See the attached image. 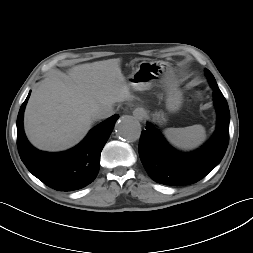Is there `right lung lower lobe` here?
Here are the masks:
<instances>
[{
  "instance_id": "right-lung-lower-lobe-1",
  "label": "right lung lower lobe",
  "mask_w": 253,
  "mask_h": 253,
  "mask_svg": "<svg viewBox=\"0 0 253 253\" xmlns=\"http://www.w3.org/2000/svg\"><path fill=\"white\" fill-rule=\"evenodd\" d=\"M31 92L22 104L17 117V147L28 170L47 186L58 191L81 189L96 178L100 169V154L107 142L118 114L94 127L76 147L59 153L34 148L23 129V114Z\"/></svg>"
}]
</instances>
